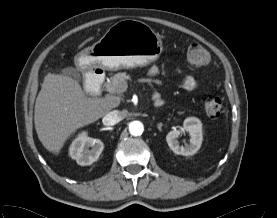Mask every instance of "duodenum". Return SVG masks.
<instances>
[{
  "label": "duodenum",
  "mask_w": 277,
  "mask_h": 218,
  "mask_svg": "<svg viewBox=\"0 0 277 218\" xmlns=\"http://www.w3.org/2000/svg\"><path fill=\"white\" fill-rule=\"evenodd\" d=\"M104 71L102 69H93L86 76V88L90 95H97L104 83ZM155 103L160 104V99L155 98Z\"/></svg>",
  "instance_id": "duodenum-1"
}]
</instances>
